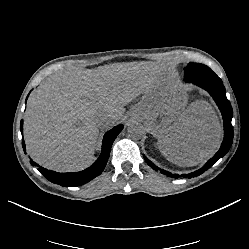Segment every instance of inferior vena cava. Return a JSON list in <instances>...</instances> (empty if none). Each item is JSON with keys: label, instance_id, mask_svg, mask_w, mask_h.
I'll return each mask as SVG.
<instances>
[{"label": "inferior vena cava", "instance_id": "1", "mask_svg": "<svg viewBox=\"0 0 249 249\" xmlns=\"http://www.w3.org/2000/svg\"><path fill=\"white\" fill-rule=\"evenodd\" d=\"M111 117L109 115L103 114L96 119L97 126L99 129H104L108 127L111 123ZM131 126V125H130ZM133 127H143L142 124H132Z\"/></svg>", "mask_w": 249, "mask_h": 249}]
</instances>
